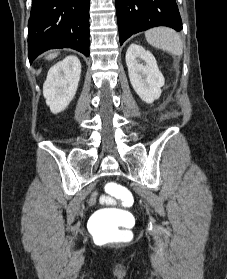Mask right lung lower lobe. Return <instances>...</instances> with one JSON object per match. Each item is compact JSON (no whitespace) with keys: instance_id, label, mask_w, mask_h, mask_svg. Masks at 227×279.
Here are the masks:
<instances>
[{"instance_id":"98d812e1","label":"right lung lower lobe","mask_w":227,"mask_h":279,"mask_svg":"<svg viewBox=\"0 0 227 279\" xmlns=\"http://www.w3.org/2000/svg\"><path fill=\"white\" fill-rule=\"evenodd\" d=\"M54 48H72L89 56V0H32L29 61Z\"/></svg>"}]
</instances>
